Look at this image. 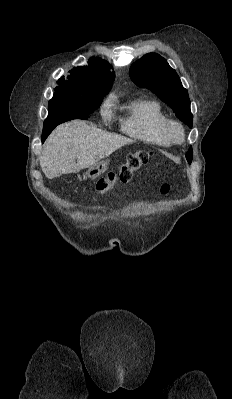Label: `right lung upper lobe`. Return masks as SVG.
<instances>
[{
	"mask_svg": "<svg viewBox=\"0 0 232 399\" xmlns=\"http://www.w3.org/2000/svg\"><path fill=\"white\" fill-rule=\"evenodd\" d=\"M88 63L89 66L70 70L66 79L61 77L56 90L62 93L108 94L115 77L110 71L111 65L95 57L90 58Z\"/></svg>",
	"mask_w": 232,
	"mask_h": 399,
	"instance_id": "1",
	"label": "right lung upper lobe"
}]
</instances>
